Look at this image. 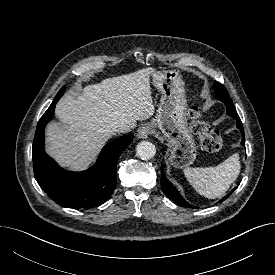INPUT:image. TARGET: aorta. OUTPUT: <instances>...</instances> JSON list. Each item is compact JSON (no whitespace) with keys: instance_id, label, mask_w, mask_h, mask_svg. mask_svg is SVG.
<instances>
[{"instance_id":"1","label":"aorta","mask_w":275,"mask_h":275,"mask_svg":"<svg viewBox=\"0 0 275 275\" xmlns=\"http://www.w3.org/2000/svg\"><path fill=\"white\" fill-rule=\"evenodd\" d=\"M156 153L155 145L149 141H141L136 146V154L142 160H148L154 157Z\"/></svg>"}]
</instances>
